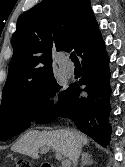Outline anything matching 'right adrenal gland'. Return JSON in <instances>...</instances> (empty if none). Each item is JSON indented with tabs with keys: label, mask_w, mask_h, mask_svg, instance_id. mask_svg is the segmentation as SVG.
Instances as JSON below:
<instances>
[{
	"label": "right adrenal gland",
	"mask_w": 125,
	"mask_h": 167,
	"mask_svg": "<svg viewBox=\"0 0 125 167\" xmlns=\"http://www.w3.org/2000/svg\"><path fill=\"white\" fill-rule=\"evenodd\" d=\"M93 164V160L91 155L87 153H82L81 155V167H84L85 165H91Z\"/></svg>",
	"instance_id": "obj_1"
}]
</instances>
